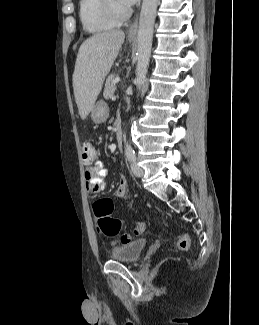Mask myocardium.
Wrapping results in <instances>:
<instances>
[{
	"instance_id": "obj_1",
	"label": "myocardium",
	"mask_w": 259,
	"mask_h": 325,
	"mask_svg": "<svg viewBox=\"0 0 259 325\" xmlns=\"http://www.w3.org/2000/svg\"><path fill=\"white\" fill-rule=\"evenodd\" d=\"M102 9L105 15L116 23L126 20L131 14L128 6L120 8L115 0H102Z\"/></svg>"
}]
</instances>
